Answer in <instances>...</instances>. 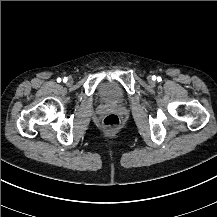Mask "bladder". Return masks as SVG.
Here are the masks:
<instances>
[{
  "mask_svg": "<svg viewBox=\"0 0 217 217\" xmlns=\"http://www.w3.org/2000/svg\"><path fill=\"white\" fill-rule=\"evenodd\" d=\"M120 89L113 81L104 82L99 90L100 97L105 103H113L119 98Z\"/></svg>",
  "mask_w": 217,
  "mask_h": 217,
  "instance_id": "obj_1",
  "label": "bladder"
}]
</instances>
